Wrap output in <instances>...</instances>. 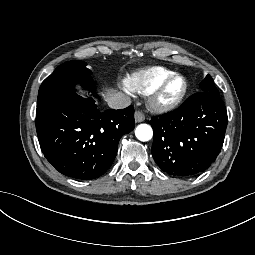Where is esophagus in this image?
<instances>
[{
  "mask_svg": "<svg viewBox=\"0 0 255 255\" xmlns=\"http://www.w3.org/2000/svg\"><path fill=\"white\" fill-rule=\"evenodd\" d=\"M145 120V115L141 110L135 111V121L136 122H142Z\"/></svg>",
  "mask_w": 255,
  "mask_h": 255,
  "instance_id": "obj_1",
  "label": "esophagus"
}]
</instances>
